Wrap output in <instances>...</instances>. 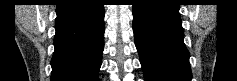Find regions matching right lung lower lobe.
<instances>
[{
    "label": "right lung lower lobe",
    "mask_w": 237,
    "mask_h": 81,
    "mask_svg": "<svg viewBox=\"0 0 237 81\" xmlns=\"http://www.w3.org/2000/svg\"><path fill=\"white\" fill-rule=\"evenodd\" d=\"M51 81H98L104 48V7L98 0L57 5Z\"/></svg>",
    "instance_id": "1"
}]
</instances>
